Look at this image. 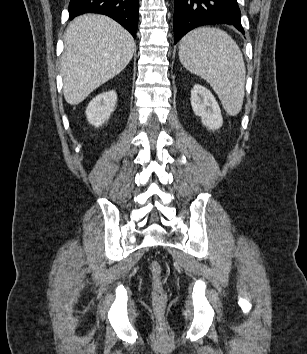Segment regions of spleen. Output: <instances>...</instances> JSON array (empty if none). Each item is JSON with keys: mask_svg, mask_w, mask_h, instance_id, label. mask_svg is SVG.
Returning <instances> with one entry per match:
<instances>
[{"mask_svg": "<svg viewBox=\"0 0 307 354\" xmlns=\"http://www.w3.org/2000/svg\"><path fill=\"white\" fill-rule=\"evenodd\" d=\"M179 59L187 70L211 85L229 115L240 112L245 63L238 45L226 32L210 27L190 31L179 43Z\"/></svg>", "mask_w": 307, "mask_h": 354, "instance_id": "1", "label": "spleen"}]
</instances>
